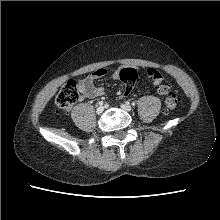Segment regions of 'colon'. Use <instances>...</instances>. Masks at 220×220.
<instances>
[{"mask_svg":"<svg viewBox=\"0 0 220 220\" xmlns=\"http://www.w3.org/2000/svg\"><path fill=\"white\" fill-rule=\"evenodd\" d=\"M147 75L153 80L162 82V75L155 69H148ZM119 78L124 84L123 94H129L133 89L138 72L134 68H124L119 74ZM159 94L165 96V108L167 111L174 110L178 105V98L172 93L171 87L165 84L157 86ZM78 85L74 80H68L60 89L56 97V105L62 110H69L78 100Z\"/></svg>","mask_w":220,"mask_h":220,"instance_id":"obj_1","label":"colon"}]
</instances>
